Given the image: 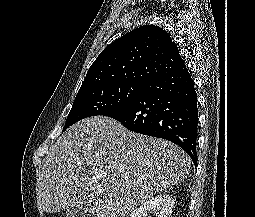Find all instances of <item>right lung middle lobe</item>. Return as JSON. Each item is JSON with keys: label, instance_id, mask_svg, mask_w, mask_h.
Wrapping results in <instances>:
<instances>
[{"label": "right lung middle lobe", "instance_id": "1", "mask_svg": "<svg viewBox=\"0 0 255 217\" xmlns=\"http://www.w3.org/2000/svg\"><path fill=\"white\" fill-rule=\"evenodd\" d=\"M146 87L147 85L142 84H113L78 92L63 131L81 119L103 115L129 104Z\"/></svg>", "mask_w": 255, "mask_h": 217}]
</instances>
